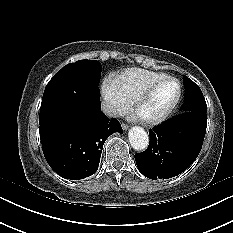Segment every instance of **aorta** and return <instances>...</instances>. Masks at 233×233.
<instances>
[{"instance_id": "762f6f07", "label": "aorta", "mask_w": 233, "mask_h": 233, "mask_svg": "<svg viewBox=\"0 0 233 233\" xmlns=\"http://www.w3.org/2000/svg\"><path fill=\"white\" fill-rule=\"evenodd\" d=\"M129 142L136 151H144L149 145L147 132L139 126L132 127L128 133Z\"/></svg>"}]
</instances>
